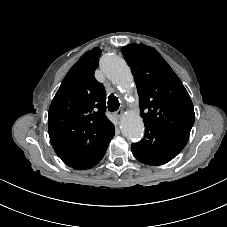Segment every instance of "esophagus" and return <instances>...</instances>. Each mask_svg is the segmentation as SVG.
<instances>
[{"label":"esophagus","mask_w":227,"mask_h":227,"mask_svg":"<svg viewBox=\"0 0 227 227\" xmlns=\"http://www.w3.org/2000/svg\"><path fill=\"white\" fill-rule=\"evenodd\" d=\"M114 115L116 116V118L120 119L123 115V111L122 110H118L114 113Z\"/></svg>","instance_id":"obj_1"}]
</instances>
